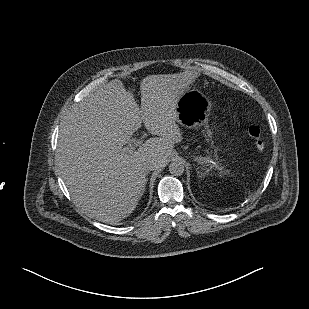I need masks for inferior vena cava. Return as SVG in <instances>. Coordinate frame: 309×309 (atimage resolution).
I'll return each instance as SVG.
<instances>
[{
  "label": "inferior vena cava",
  "instance_id": "inferior-vena-cava-1",
  "mask_svg": "<svg viewBox=\"0 0 309 309\" xmlns=\"http://www.w3.org/2000/svg\"><path fill=\"white\" fill-rule=\"evenodd\" d=\"M160 167H162V165L157 166L155 164H150L149 166H147V170L150 171V170H154V169L160 168Z\"/></svg>",
  "mask_w": 309,
  "mask_h": 309
}]
</instances>
